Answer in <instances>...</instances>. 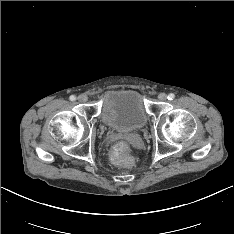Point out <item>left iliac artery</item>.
Listing matches in <instances>:
<instances>
[{"mask_svg": "<svg viewBox=\"0 0 234 234\" xmlns=\"http://www.w3.org/2000/svg\"><path fill=\"white\" fill-rule=\"evenodd\" d=\"M175 98V95L173 94V93H170L169 95H168V99L169 100H173Z\"/></svg>", "mask_w": 234, "mask_h": 234, "instance_id": "44dca946", "label": "left iliac artery"}]
</instances>
